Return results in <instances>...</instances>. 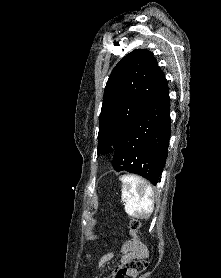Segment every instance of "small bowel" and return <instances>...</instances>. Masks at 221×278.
<instances>
[{
  "label": "small bowel",
  "mask_w": 221,
  "mask_h": 278,
  "mask_svg": "<svg viewBox=\"0 0 221 278\" xmlns=\"http://www.w3.org/2000/svg\"><path fill=\"white\" fill-rule=\"evenodd\" d=\"M121 253L122 256L120 262L122 265H125L127 262L134 259L135 257L140 256L143 253L148 254L146 247L140 244L136 240L124 243L121 246ZM113 257H114V253L112 252L103 255L98 261L97 264L98 268L110 262L113 259ZM107 278H116V274H111Z\"/></svg>",
  "instance_id": "obj_1"
}]
</instances>
